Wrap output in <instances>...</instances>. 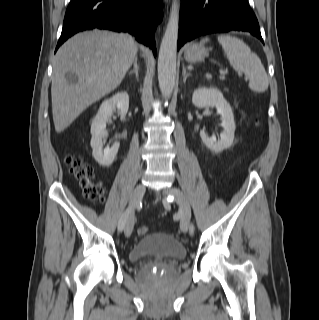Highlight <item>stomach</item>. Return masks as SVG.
<instances>
[{
  "instance_id": "obj_1",
  "label": "stomach",
  "mask_w": 319,
  "mask_h": 320,
  "mask_svg": "<svg viewBox=\"0 0 319 320\" xmlns=\"http://www.w3.org/2000/svg\"><path fill=\"white\" fill-rule=\"evenodd\" d=\"M208 49L203 45L190 44L184 51V58L188 63H199L205 59Z\"/></svg>"
}]
</instances>
